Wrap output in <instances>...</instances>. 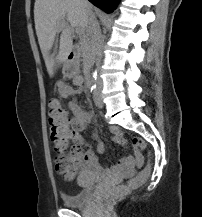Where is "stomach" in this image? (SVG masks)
<instances>
[{"label": "stomach", "mask_w": 202, "mask_h": 217, "mask_svg": "<svg viewBox=\"0 0 202 217\" xmlns=\"http://www.w3.org/2000/svg\"><path fill=\"white\" fill-rule=\"evenodd\" d=\"M64 75L67 77H72L77 74V65L73 63H66L64 66Z\"/></svg>", "instance_id": "stomach-1"}]
</instances>
